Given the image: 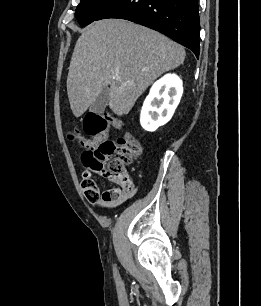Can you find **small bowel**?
<instances>
[{"label":"small bowel","mask_w":261,"mask_h":306,"mask_svg":"<svg viewBox=\"0 0 261 306\" xmlns=\"http://www.w3.org/2000/svg\"><path fill=\"white\" fill-rule=\"evenodd\" d=\"M112 190V189H110ZM137 190L136 188H129V189H124V190H119L118 189V193L115 199H113L111 202H105L102 200V202L100 203L101 206L104 205H111V206H117L120 205L124 202H126L127 200H129L130 198H132L135 194H136Z\"/></svg>","instance_id":"small-bowel-1"}]
</instances>
